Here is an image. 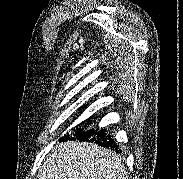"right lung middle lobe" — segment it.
<instances>
[{
    "mask_svg": "<svg viewBox=\"0 0 183 179\" xmlns=\"http://www.w3.org/2000/svg\"><path fill=\"white\" fill-rule=\"evenodd\" d=\"M82 124H84V122H82L79 126H81ZM73 130L77 131V132H75L74 136H81V135H83L85 133V131H83V129H79L78 126L75 127ZM65 139H70L69 135H65L60 140H65Z\"/></svg>",
    "mask_w": 183,
    "mask_h": 179,
    "instance_id": "1",
    "label": "right lung middle lobe"
}]
</instances>
